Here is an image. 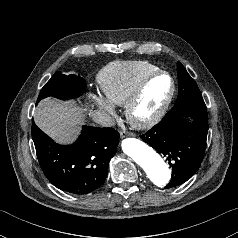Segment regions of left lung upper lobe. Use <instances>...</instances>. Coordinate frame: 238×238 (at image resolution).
Returning <instances> with one entry per match:
<instances>
[{
	"mask_svg": "<svg viewBox=\"0 0 238 238\" xmlns=\"http://www.w3.org/2000/svg\"><path fill=\"white\" fill-rule=\"evenodd\" d=\"M177 73L179 94L170 112L207 110L196 82L180 62L177 64Z\"/></svg>",
	"mask_w": 238,
	"mask_h": 238,
	"instance_id": "obj_1",
	"label": "left lung upper lobe"
}]
</instances>
